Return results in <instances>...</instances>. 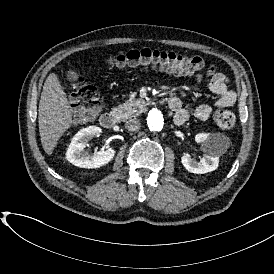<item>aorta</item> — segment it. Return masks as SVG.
<instances>
[{"instance_id":"762f6f07","label":"aorta","mask_w":274,"mask_h":274,"mask_svg":"<svg viewBox=\"0 0 274 274\" xmlns=\"http://www.w3.org/2000/svg\"><path fill=\"white\" fill-rule=\"evenodd\" d=\"M165 120L162 112L157 108L149 111L147 116V125L153 132H160L165 126Z\"/></svg>"}]
</instances>
